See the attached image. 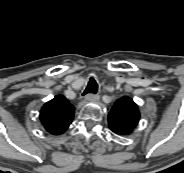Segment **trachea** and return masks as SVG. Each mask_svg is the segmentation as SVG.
I'll return each mask as SVG.
<instances>
[{"mask_svg": "<svg viewBox=\"0 0 184 173\" xmlns=\"http://www.w3.org/2000/svg\"><path fill=\"white\" fill-rule=\"evenodd\" d=\"M97 90H98L97 82L94 79V77H91L85 91L83 92V95H86L88 93L96 94Z\"/></svg>", "mask_w": 184, "mask_h": 173, "instance_id": "1", "label": "trachea"}]
</instances>
